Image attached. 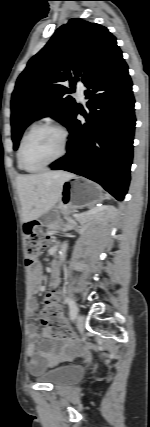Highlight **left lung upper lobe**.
<instances>
[{"label":"left lung upper lobe","mask_w":150,"mask_h":427,"mask_svg":"<svg viewBox=\"0 0 150 427\" xmlns=\"http://www.w3.org/2000/svg\"><path fill=\"white\" fill-rule=\"evenodd\" d=\"M116 47L106 27L83 19H70L57 29L17 79L11 99L15 150L24 129L37 118L51 116L66 125L76 102L65 95L72 93L79 78L85 83ZM67 80L70 89L61 85Z\"/></svg>","instance_id":"1"}]
</instances>
